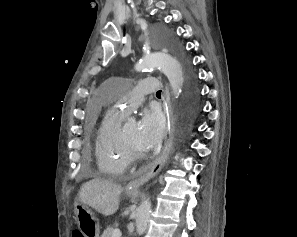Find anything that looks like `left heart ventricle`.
<instances>
[{
  "label": "left heart ventricle",
  "mask_w": 297,
  "mask_h": 237,
  "mask_svg": "<svg viewBox=\"0 0 297 237\" xmlns=\"http://www.w3.org/2000/svg\"><path fill=\"white\" fill-rule=\"evenodd\" d=\"M122 132L128 143L136 150L145 151L138 140L137 124L129 123L121 127Z\"/></svg>",
  "instance_id": "1"
}]
</instances>
